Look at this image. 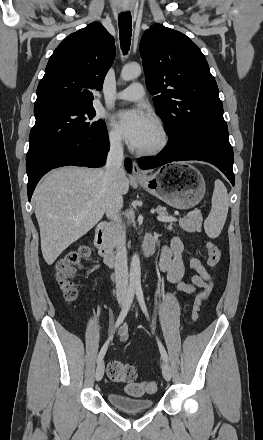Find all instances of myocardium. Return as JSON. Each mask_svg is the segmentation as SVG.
Here are the masks:
<instances>
[{"label":"myocardium","mask_w":263,"mask_h":440,"mask_svg":"<svg viewBox=\"0 0 263 440\" xmlns=\"http://www.w3.org/2000/svg\"><path fill=\"white\" fill-rule=\"evenodd\" d=\"M152 124L157 132L158 140L155 144L145 147V148H136V152L139 155L144 156H152L159 154L163 150H165L171 140L170 133L164 123L158 118H152Z\"/></svg>","instance_id":"obj_1"}]
</instances>
